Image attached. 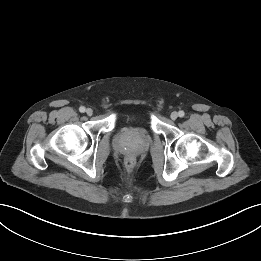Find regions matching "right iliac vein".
<instances>
[{
    "instance_id": "obj_1",
    "label": "right iliac vein",
    "mask_w": 261,
    "mask_h": 261,
    "mask_svg": "<svg viewBox=\"0 0 261 261\" xmlns=\"http://www.w3.org/2000/svg\"><path fill=\"white\" fill-rule=\"evenodd\" d=\"M86 114H87L88 116H91V115L93 114V110H92L91 108H88V109L86 110Z\"/></svg>"
}]
</instances>
